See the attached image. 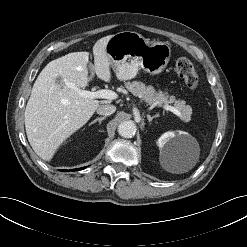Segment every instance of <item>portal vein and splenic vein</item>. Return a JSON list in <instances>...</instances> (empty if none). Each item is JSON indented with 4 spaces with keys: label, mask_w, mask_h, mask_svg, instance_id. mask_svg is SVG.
<instances>
[{
    "label": "portal vein and splenic vein",
    "mask_w": 247,
    "mask_h": 247,
    "mask_svg": "<svg viewBox=\"0 0 247 247\" xmlns=\"http://www.w3.org/2000/svg\"><path fill=\"white\" fill-rule=\"evenodd\" d=\"M70 88H73L81 97L88 98V99L114 100L117 98V94L111 90L100 89L97 91H87V90L78 89V88L74 87L73 85H71ZM163 108L165 110L173 112L177 116L181 115L180 111L173 106L164 105Z\"/></svg>",
    "instance_id": "1"
}]
</instances>
